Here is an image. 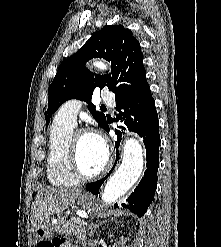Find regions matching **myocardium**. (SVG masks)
Segmentation results:
<instances>
[{"mask_svg":"<svg viewBox=\"0 0 221 247\" xmlns=\"http://www.w3.org/2000/svg\"><path fill=\"white\" fill-rule=\"evenodd\" d=\"M87 134H91L99 137L106 149L105 164L97 173L94 174L84 173L79 164V158H78L79 138L82 135H87ZM112 162H113V152L111 146L104 138L99 136L97 133H95L90 129H84V128L76 129L71 133L70 144H69V163H70V169L76 178H78L81 181H91V180L99 179L109 171V169L112 166Z\"/></svg>","mask_w":221,"mask_h":247,"instance_id":"f54148a6","label":"myocardium"}]
</instances>
